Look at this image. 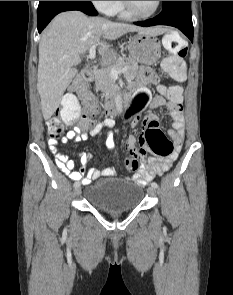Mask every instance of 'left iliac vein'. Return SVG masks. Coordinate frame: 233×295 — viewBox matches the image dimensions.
I'll return each mask as SVG.
<instances>
[{
	"instance_id": "left-iliac-vein-1",
	"label": "left iliac vein",
	"mask_w": 233,
	"mask_h": 295,
	"mask_svg": "<svg viewBox=\"0 0 233 295\" xmlns=\"http://www.w3.org/2000/svg\"><path fill=\"white\" fill-rule=\"evenodd\" d=\"M147 192L149 195L151 196H154L156 194V188L150 186L148 189H147Z\"/></svg>"
}]
</instances>
